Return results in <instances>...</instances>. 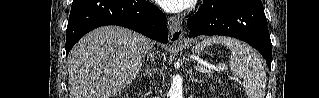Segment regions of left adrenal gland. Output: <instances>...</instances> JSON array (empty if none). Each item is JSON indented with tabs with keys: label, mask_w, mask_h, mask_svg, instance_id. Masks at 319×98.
<instances>
[{
	"label": "left adrenal gland",
	"mask_w": 319,
	"mask_h": 98,
	"mask_svg": "<svg viewBox=\"0 0 319 98\" xmlns=\"http://www.w3.org/2000/svg\"><path fill=\"white\" fill-rule=\"evenodd\" d=\"M189 76H190V80L192 81V82H199V80L197 79V78H194V76H193V72H192V68L191 69H189Z\"/></svg>",
	"instance_id": "left-adrenal-gland-1"
}]
</instances>
